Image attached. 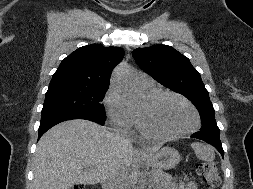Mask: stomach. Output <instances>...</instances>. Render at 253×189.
Instances as JSON below:
<instances>
[{
    "label": "stomach",
    "instance_id": "0dacf381",
    "mask_svg": "<svg viewBox=\"0 0 253 189\" xmlns=\"http://www.w3.org/2000/svg\"><path fill=\"white\" fill-rule=\"evenodd\" d=\"M144 162L154 169H171L180 162L179 152L171 147H164L157 152L149 153L144 157Z\"/></svg>",
    "mask_w": 253,
    "mask_h": 189
}]
</instances>
